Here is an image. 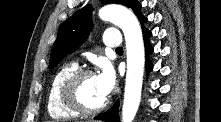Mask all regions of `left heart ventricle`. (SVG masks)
Segmentation results:
<instances>
[{
  "label": "left heart ventricle",
  "mask_w": 221,
  "mask_h": 122,
  "mask_svg": "<svg viewBox=\"0 0 221 122\" xmlns=\"http://www.w3.org/2000/svg\"><path fill=\"white\" fill-rule=\"evenodd\" d=\"M80 100L88 107L100 105L106 97L101 93L96 76L84 78L78 87Z\"/></svg>",
  "instance_id": "b2bd125f"
}]
</instances>
